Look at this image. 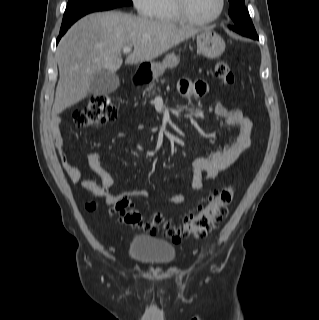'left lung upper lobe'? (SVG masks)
<instances>
[{
	"mask_svg": "<svg viewBox=\"0 0 319 320\" xmlns=\"http://www.w3.org/2000/svg\"><path fill=\"white\" fill-rule=\"evenodd\" d=\"M229 2V16L234 21L235 26L248 31H255L244 0H229Z\"/></svg>",
	"mask_w": 319,
	"mask_h": 320,
	"instance_id": "1",
	"label": "left lung upper lobe"
}]
</instances>
